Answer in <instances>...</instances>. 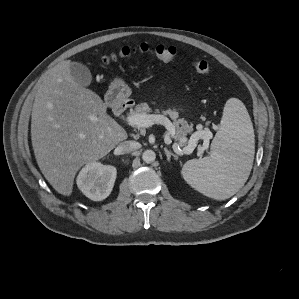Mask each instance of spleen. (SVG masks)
<instances>
[{"label":"spleen","instance_id":"3e777b00","mask_svg":"<svg viewBox=\"0 0 299 299\" xmlns=\"http://www.w3.org/2000/svg\"><path fill=\"white\" fill-rule=\"evenodd\" d=\"M254 140L252 121L245 105L237 98L228 99L210 155L187 161L182 168L184 180L207 197L230 198L250 175Z\"/></svg>","mask_w":299,"mask_h":299}]
</instances>
